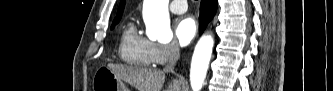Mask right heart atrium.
Listing matches in <instances>:
<instances>
[{
	"label": "right heart atrium",
	"instance_id": "right-heart-atrium-1",
	"mask_svg": "<svg viewBox=\"0 0 333 91\" xmlns=\"http://www.w3.org/2000/svg\"><path fill=\"white\" fill-rule=\"evenodd\" d=\"M151 55L153 64L164 65L178 57L179 48L174 42L151 43Z\"/></svg>",
	"mask_w": 333,
	"mask_h": 91
}]
</instances>
